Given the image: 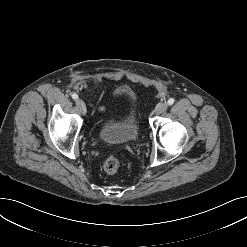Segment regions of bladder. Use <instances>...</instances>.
Masks as SVG:
<instances>
[{"instance_id":"bladder-1","label":"bladder","mask_w":247,"mask_h":247,"mask_svg":"<svg viewBox=\"0 0 247 247\" xmlns=\"http://www.w3.org/2000/svg\"><path fill=\"white\" fill-rule=\"evenodd\" d=\"M117 94L126 95L129 94V91L127 89H119ZM138 135L139 126L134 102L128 104L121 119L105 121L100 127V137L108 143H129L137 139Z\"/></svg>"}]
</instances>
